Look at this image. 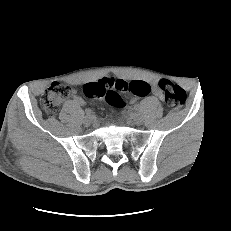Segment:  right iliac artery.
<instances>
[{"label": "right iliac artery", "instance_id": "1", "mask_svg": "<svg viewBox=\"0 0 231 231\" xmlns=\"http://www.w3.org/2000/svg\"><path fill=\"white\" fill-rule=\"evenodd\" d=\"M85 113H86V115H92L93 114L91 109H86Z\"/></svg>", "mask_w": 231, "mask_h": 231}]
</instances>
